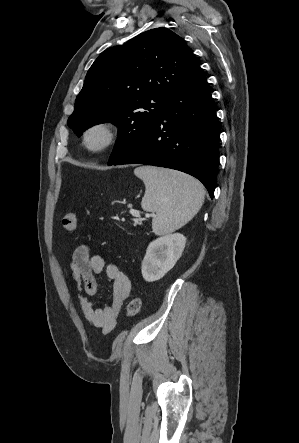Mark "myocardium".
Instances as JSON below:
<instances>
[{
    "mask_svg": "<svg viewBox=\"0 0 299 443\" xmlns=\"http://www.w3.org/2000/svg\"><path fill=\"white\" fill-rule=\"evenodd\" d=\"M95 132L103 134L98 145L90 144V136ZM121 137L120 128L110 120H98L88 125L82 134V145L91 154H101L114 147Z\"/></svg>",
    "mask_w": 299,
    "mask_h": 443,
    "instance_id": "1",
    "label": "myocardium"
}]
</instances>
